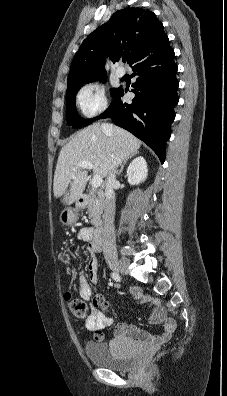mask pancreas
<instances>
[{
	"label": "pancreas",
	"mask_w": 227,
	"mask_h": 396,
	"mask_svg": "<svg viewBox=\"0 0 227 396\" xmlns=\"http://www.w3.org/2000/svg\"><path fill=\"white\" fill-rule=\"evenodd\" d=\"M87 212L89 213L91 224L94 226H99L102 222L101 215L103 212V202L100 196L97 197L92 192H90Z\"/></svg>",
	"instance_id": "obj_1"
}]
</instances>
